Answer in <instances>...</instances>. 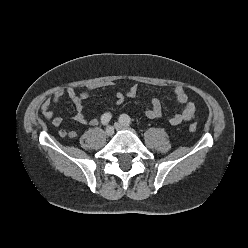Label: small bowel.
Segmentation results:
<instances>
[{
	"instance_id": "small-bowel-1",
	"label": "small bowel",
	"mask_w": 248,
	"mask_h": 248,
	"mask_svg": "<svg viewBox=\"0 0 248 248\" xmlns=\"http://www.w3.org/2000/svg\"><path fill=\"white\" fill-rule=\"evenodd\" d=\"M113 83L108 82L104 84H95L86 87L81 92H78L73 87H68L66 89L60 88L54 92L52 97L47 98L41 107L42 116L48 120L52 126L59 127L62 124L63 118L55 113V106L60 102L64 95H67L68 98L73 102L75 107V114L73 116L74 120L82 125H98V120L96 118L88 119L83 110H84V101L90 97V95L97 89L110 86ZM138 93V86L133 85L129 88L126 94L122 92H117L115 94V102L120 105L124 102L125 97L134 98ZM173 93L176 97L177 103L183 106V109L180 113L174 114L169 118V123L171 125H179L184 121H190L195 117L196 107L195 104L190 100L189 94L187 91L181 87L176 86L173 89ZM144 115L149 119H159L163 115L162 105L158 98H153L151 100V106L143 111ZM60 137H69L71 139L77 137V132L75 130H66L61 128L58 131Z\"/></svg>"
}]
</instances>
